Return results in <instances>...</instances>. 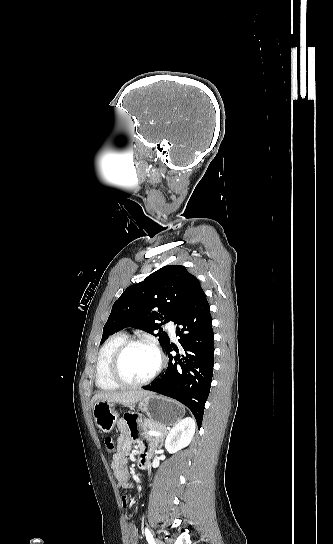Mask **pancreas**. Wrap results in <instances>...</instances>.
<instances>
[{
  "instance_id": "pancreas-1",
  "label": "pancreas",
  "mask_w": 333,
  "mask_h": 544,
  "mask_svg": "<svg viewBox=\"0 0 333 544\" xmlns=\"http://www.w3.org/2000/svg\"><path fill=\"white\" fill-rule=\"evenodd\" d=\"M140 426L145 431L146 437H150L148 435V431L167 432L164 426L157 422L151 421L150 419H145L144 421H141Z\"/></svg>"
}]
</instances>
